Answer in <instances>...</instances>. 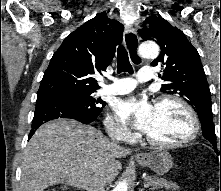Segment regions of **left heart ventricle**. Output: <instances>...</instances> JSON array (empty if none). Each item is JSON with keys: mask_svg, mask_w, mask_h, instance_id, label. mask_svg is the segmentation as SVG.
<instances>
[{"mask_svg": "<svg viewBox=\"0 0 221 191\" xmlns=\"http://www.w3.org/2000/svg\"><path fill=\"white\" fill-rule=\"evenodd\" d=\"M191 122L186 111L173 102H164L155 106L150 137L159 141H177L188 135Z\"/></svg>", "mask_w": 221, "mask_h": 191, "instance_id": "left-heart-ventricle-1", "label": "left heart ventricle"}]
</instances>
